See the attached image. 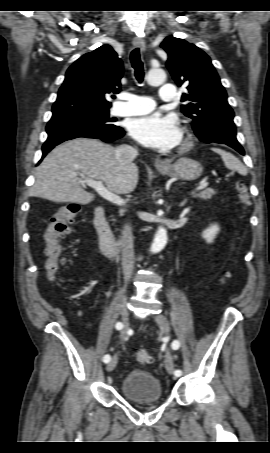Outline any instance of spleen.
Returning <instances> with one entry per match:
<instances>
[{
    "mask_svg": "<svg viewBox=\"0 0 270 453\" xmlns=\"http://www.w3.org/2000/svg\"><path fill=\"white\" fill-rule=\"evenodd\" d=\"M213 151L221 156L226 168L235 170L241 175L247 174L246 167L233 154L218 148H213Z\"/></svg>",
    "mask_w": 270,
    "mask_h": 453,
    "instance_id": "1",
    "label": "spleen"
}]
</instances>
